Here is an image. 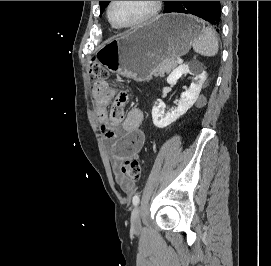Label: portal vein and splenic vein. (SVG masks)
Listing matches in <instances>:
<instances>
[{
    "mask_svg": "<svg viewBox=\"0 0 271 266\" xmlns=\"http://www.w3.org/2000/svg\"><path fill=\"white\" fill-rule=\"evenodd\" d=\"M177 63H178V64H182V63H183V60H182V59H178V60H177Z\"/></svg>",
    "mask_w": 271,
    "mask_h": 266,
    "instance_id": "18ae733b",
    "label": "portal vein and splenic vein"
}]
</instances>
